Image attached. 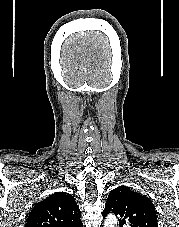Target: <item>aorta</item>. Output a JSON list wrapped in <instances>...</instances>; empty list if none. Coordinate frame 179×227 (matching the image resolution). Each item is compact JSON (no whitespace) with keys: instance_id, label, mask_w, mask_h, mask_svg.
Masks as SVG:
<instances>
[{"instance_id":"obj_1","label":"aorta","mask_w":179,"mask_h":227,"mask_svg":"<svg viewBox=\"0 0 179 227\" xmlns=\"http://www.w3.org/2000/svg\"><path fill=\"white\" fill-rule=\"evenodd\" d=\"M105 227H117V218L115 215H108L105 219Z\"/></svg>"}]
</instances>
